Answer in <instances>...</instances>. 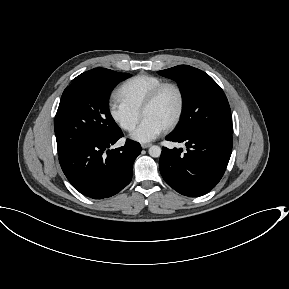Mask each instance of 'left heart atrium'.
I'll return each instance as SVG.
<instances>
[{
    "label": "left heart atrium",
    "mask_w": 289,
    "mask_h": 289,
    "mask_svg": "<svg viewBox=\"0 0 289 289\" xmlns=\"http://www.w3.org/2000/svg\"><path fill=\"white\" fill-rule=\"evenodd\" d=\"M165 127L152 118L144 117L131 134V138L141 143H147L157 138L165 130Z\"/></svg>",
    "instance_id": "obj_1"
}]
</instances>
